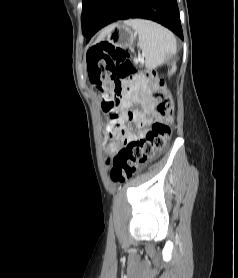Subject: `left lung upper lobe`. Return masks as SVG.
<instances>
[{"instance_id":"left-lung-upper-lobe-1","label":"left lung upper lobe","mask_w":238,"mask_h":278,"mask_svg":"<svg viewBox=\"0 0 238 278\" xmlns=\"http://www.w3.org/2000/svg\"><path fill=\"white\" fill-rule=\"evenodd\" d=\"M106 0H83L81 15L82 33L87 35Z\"/></svg>"}]
</instances>
